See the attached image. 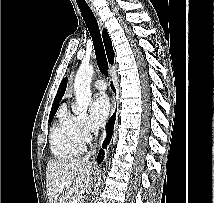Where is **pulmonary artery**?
I'll use <instances>...</instances> for the list:
<instances>
[{"label":"pulmonary artery","instance_id":"obj_1","mask_svg":"<svg viewBox=\"0 0 214 203\" xmlns=\"http://www.w3.org/2000/svg\"><path fill=\"white\" fill-rule=\"evenodd\" d=\"M94 87L97 89V90H105L106 89V83L101 80V79H98L94 82Z\"/></svg>","mask_w":214,"mask_h":203}]
</instances>
